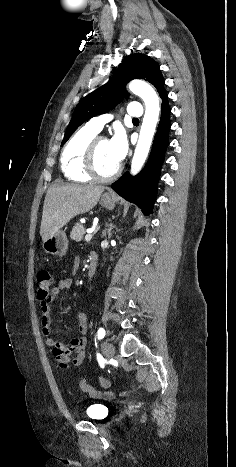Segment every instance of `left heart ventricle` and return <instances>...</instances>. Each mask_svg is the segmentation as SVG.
Segmentation results:
<instances>
[{
	"mask_svg": "<svg viewBox=\"0 0 236 467\" xmlns=\"http://www.w3.org/2000/svg\"><path fill=\"white\" fill-rule=\"evenodd\" d=\"M119 163L114 159L108 140H101L97 147L96 167L102 175L110 174Z\"/></svg>",
	"mask_w": 236,
	"mask_h": 467,
	"instance_id": "1",
	"label": "left heart ventricle"
}]
</instances>
